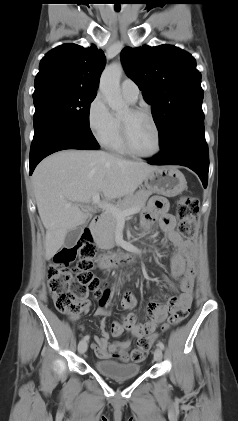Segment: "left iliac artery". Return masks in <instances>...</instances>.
<instances>
[{
	"instance_id": "left-iliac-artery-1",
	"label": "left iliac artery",
	"mask_w": 238,
	"mask_h": 421,
	"mask_svg": "<svg viewBox=\"0 0 238 421\" xmlns=\"http://www.w3.org/2000/svg\"><path fill=\"white\" fill-rule=\"evenodd\" d=\"M162 350L164 349V344L161 341H158L157 344Z\"/></svg>"
}]
</instances>
